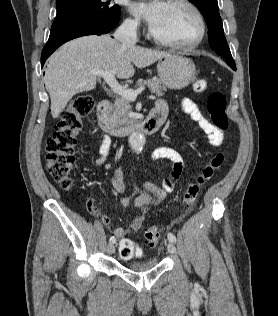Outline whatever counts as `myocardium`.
<instances>
[{
	"instance_id": "f54148a6",
	"label": "myocardium",
	"mask_w": 278,
	"mask_h": 316,
	"mask_svg": "<svg viewBox=\"0 0 278 316\" xmlns=\"http://www.w3.org/2000/svg\"><path fill=\"white\" fill-rule=\"evenodd\" d=\"M170 4L174 5H181L186 7L195 17L198 30H197V35L196 37L187 43H174V42H169L162 40L158 38L152 30L149 33L150 39L157 45L163 46L166 48L174 49V50H182V51H189L197 48L201 42L203 41L205 34H206V23L204 20V17L199 10V8L190 0H169Z\"/></svg>"
}]
</instances>
